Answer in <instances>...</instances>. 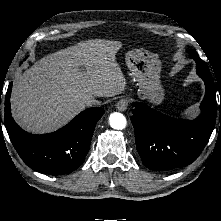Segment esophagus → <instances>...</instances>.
Listing matches in <instances>:
<instances>
[{
	"instance_id": "esophagus-1",
	"label": "esophagus",
	"mask_w": 221,
	"mask_h": 221,
	"mask_svg": "<svg viewBox=\"0 0 221 221\" xmlns=\"http://www.w3.org/2000/svg\"><path fill=\"white\" fill-rule=\"evenodd\" d=\"M127 107H128V100L126 98L120 99L116 104V108L119 111H125Z\"/></svg>"
}]
</instances>
